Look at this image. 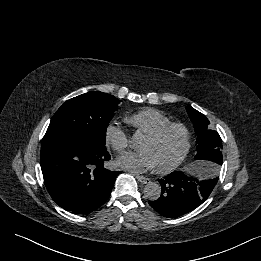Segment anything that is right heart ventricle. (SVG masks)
<instances>
[{"mask_svg": "<svg viewBox=\"0 0 261 261\" xmlns=\"http://www.w3.org/2000/svg\"><path fill=\"white\" fill-rule=\"evenodd\" d=\"M127 122L139 132L151 134L162 126L171 123L170 118L154 108H147L127 117Z\"/></svg>", "mask_w": 261, "mask_h": 261, "instance_id": "1", "label": "right heart ventricle"}]
</instances>
